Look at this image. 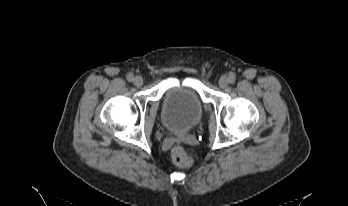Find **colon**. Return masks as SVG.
<instances>
[{"instance_id":"colon-1","label":"colon","mask_w":348,"mask_h":206,"mask_svg":"<svg viewBox=\"0 0 348 206\" xmlns=\"http://www.w3.org/2000/svg\"><path fill=\"white\" fill-rule=\"evenodd\" d=\"M173 161L181 167H188L191 164V158L181 146H175L172 150Z\"/></svg>"}]
</instances>
